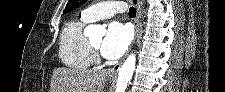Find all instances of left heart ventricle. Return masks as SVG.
I'll return each mask as SVG.
<instances>
[{
  "label": "left heart ventricle",
  "instance_id": "b2bd125f",
  "mask_svg": "<svg viewBox=\"0 0 225 92\" xmlns=\"http://www.w3.org/2000/svg\"><path fill=\"white\" fill-rule=\"evenodd\" d=\"M101 41H102V38L100 37V38H97V39H95V40H92L91 43H92L94 46L99 47L100 44H101Z\"/></svg>",
  "mask_w": 225,
  "mask_h": 92
}]
</instances>
